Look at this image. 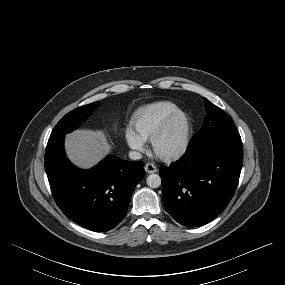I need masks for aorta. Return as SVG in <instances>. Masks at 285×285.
<instances>
[{"label":"aorta","instance_id":"aorta-1","mask_svg":"<svg viewBox=\"0 0 285 285\" xmlns=\"http://www.w3.org/2000/svg\"><path fill=\"white\" fill-rule=\"evenodd\" d=\"M147 185L151 188H158L161 185V178L158 174H151L146 179Z\"/></svg>","mask_w":285,"mask_h":285}]
</instances>
